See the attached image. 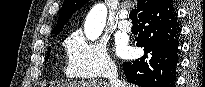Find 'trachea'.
Instances as JSON below:
<instances>
[{
  "label": "trachea",
  "mask_w": 205,
  "mask_h": 87,
  "mask_svg": "<svg viewBox=\"0 0 205 87\" xmlns=\"http://www.w3.org/2000/svg\"><path fill=\"white\" fill-rule=\"evenodd\" d=\"M129 18L132 20V22H137V21H138L136 8L133 9V10L130 12Z\"/></svg>",
  "instance_id": "obj_1"
}]
</instances>
